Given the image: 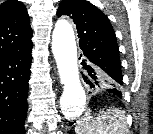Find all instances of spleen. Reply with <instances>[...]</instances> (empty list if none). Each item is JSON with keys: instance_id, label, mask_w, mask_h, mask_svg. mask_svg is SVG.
<instances>
[{"instance_id": "obj_1", "label": "spleen", "mask_w": 153, "mask_h": 134, "mask_svg": "<svg viewBox=\"0 0 153 134\" xmlns=\"http://www.w3.org/2000/svg\"><path fill=\"white\" fill-rule=\"evenodd\" d=\"M125 111L119 108H108L93 117L87 111L75 127L76 134H127Z\"/></svg>"}]
</instances>
